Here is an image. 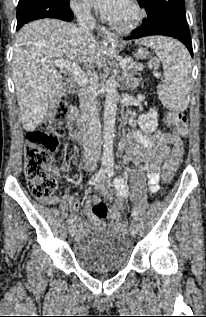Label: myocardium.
<instances>
[{"label": "myocardium", "instance_id": "f54148a6", "mask_svg": "<svg viewBox=\"0 0 206 317\" xmlns=\"http://www.w3.org/2000/svg\"><path fill=\"white\" fill-rule=\"evenodd\" d=\"M128 5L131 7L133 11L132 18L124 23L116 22L112 19H108L109 25L119 31V32H130L137 28L145 17V11L143 8L136 2V0H126Z\"/></svg>", "mask_w": 206, "mask_h": 317}]
</instances>
